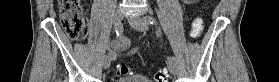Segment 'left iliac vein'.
<instances>
[{"mask_svg": "<svg viewBox=\"0 0 279 82\" xmlns=\"http://www.w3.org/2000/svg\"><path fill=\"white\" fill-rule=\"evenodd\" d=\"M129 23L134 29L141 31V32L145 31L149 24L140 16L130 17ZM167 67L171 74L176 75L178 73L177 66L174 62H168Z\"/></svg>", "mask_w": 279, "mask_h": 82, "instance_id": "obj_1", "label": "left iliac vein"}]
</instances>
